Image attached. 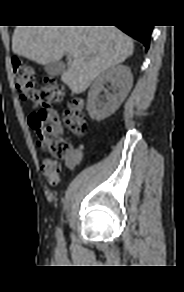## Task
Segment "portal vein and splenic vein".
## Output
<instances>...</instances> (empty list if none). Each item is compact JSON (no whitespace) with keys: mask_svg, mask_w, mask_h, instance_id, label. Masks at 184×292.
Listing matches in <instances>:
<instances>
[{"mask_svg":"<svg viewBox=\"0 0 184 292\" xmlns=\"http://www.w3.org/2000/svg\"><path fill=\"white\" fill-rule=\"evenodd\" d=\"M68 58L71 59L72 58V54L69 53L68 54Z\"/></svg>","mask_w":184,"mask_h":292,"instance_id":"18ae733b","label":"portal vein and splenic vein"}]
</instances>
